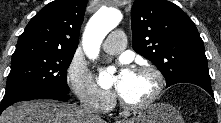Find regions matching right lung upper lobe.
<instances>
[{"mask_svg": "<svg viewBox=\"0 0 221 123\" xmlns=\"http://www.w3.org/2000/svg\"><path fill=\"white\" fill-rule=\"evenodd\" d=\"M87 0H55L41 9L20 35L16 50L75 53Z\"/></svg>", "mask_w": 221, "mask_h": 123, "instance_id": "1", "label": "right lung upper lobe"}]
</instances>
